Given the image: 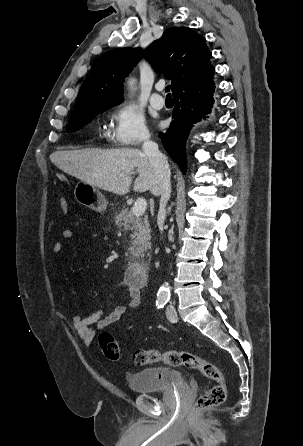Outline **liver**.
I'll return each mask as SVG.
<instances>
[{"label":"liver","mask_w":303,"mask_h":446,"mask_svg":"<svg viewBox=\"0 0 303 446\" xmlns=\"http://www.w3.org/2000/svg\"><path fill=\"white\" fill-rule=\"evenodd\" d=\"M51 162L60 170L82 182L125 195L132 184V174L138 177L133 182L136 192L150 190L159 194V183L148 157L139 149H81L56 151L50 156Z\"/></svg>","instance_id":"liver-1"}]
</instances>
